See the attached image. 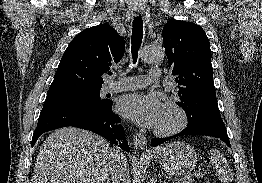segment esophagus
<instances>
[{
  "label": "esophagus",
  "instance_id": "esophagus-1",
  "mask_svg": "<svg viewBox=\"0 0 262 183\" xmlns=\"http://www.w3.org/2000/svg\"><path fill=\"white\" fill-rule=\"evenodd\" d=\"M134 145L138 149L147 150V139L141 133H136L134 136Z\"/></svg>",
  "mask_w": 262,
  "mask_h": 183
}]
</instances>
